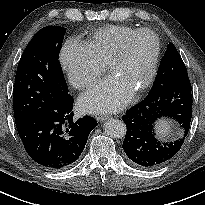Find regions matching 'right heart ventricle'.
<instances>
[{
  "instance_id": "1",
  "label": "right heart ventricle",
  "mask_w": 205,
  "mask_h": 205,
  "mask_svg": "<svg viewBox=\"0 0 205 205\" xmlns=\"http://www.w3.org/2000/svg\"><path fill=\"white\" fill-rule=\"evenodd\" d=\"M135 30L125 25L105 26L90 34L87 46L101 64L107 65L124 38Z\"/></svg>"
}]
</instances>
